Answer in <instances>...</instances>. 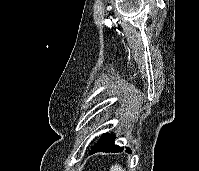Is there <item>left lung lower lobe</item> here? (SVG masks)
Listing matches in <instances>:
<instances>
[{"label": "left lung lower lobe", "mask_w": 199, "mask_h": 171, "mask_svg": "<svg viewBox=\"0 0 199 171\" xmlns=\"http://www.w3.org/2000/svg\"><path fill=\"white\" fill-rule=\"evenodd\" d=\"M115 141V135L114 134H103L101 136L100 140L98 143H96L93 148L91 149L90 154L102 151V152H120L123 150V147H119L114 144ZM127 152H130V149H126Z\"/></svg>", "instance_id": "0a47b994"}]
</instances>
